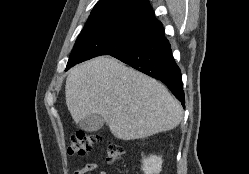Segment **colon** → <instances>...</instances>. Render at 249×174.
Listing matches in <instances>:
<instances>
[{
	"mask_svg": "<svg viewBox=\"0 0 249 174\" xmlns=\"http://www.w3.org/2000/svg\"><path fill=\"white\" fill-rule=\"evenodd\" d=\"M100 138L98 135L80 131L71 137L68 153L72 156H82L91 151L94 146L99 142ZM123 155V149L120 145L109 143L105 151V160L107 163H115L120 160Z\"/></svg>",
	"mask_w": 249,
	"mask_h": 174,
	"instance_id": "obj_1",
	"label": "colon"
}]
</instances>
